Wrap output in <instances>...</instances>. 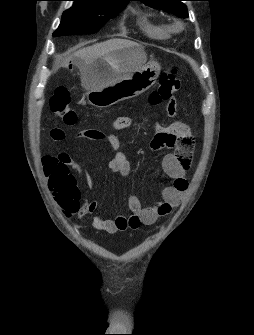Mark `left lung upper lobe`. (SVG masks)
Wrapping results in <instances>:
<instances>
[{
	"label": "left lung upper lobe",
	"instance_id": "obj_1",
	"mask_svg": "<svg viewBox=\"0 0 254 335\" xmlns=\"http://www.w3.org/2000/svg\"><path fill=\"white\" fill-rule=\"evenodd\" d=\"M144 4L153 7L160 8L166 12H170L177 15L179 18H187L188 11L187 7L181 2L183 0H138Z\"/></svg>",
	"mask_w": 254,
	"mask_h": 335
}]
</instances>
